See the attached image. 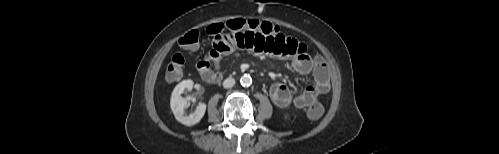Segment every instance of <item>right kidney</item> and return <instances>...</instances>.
I'll return each mask as SVG.
<instances>
[{
  "instance_id": "obj_1",
  "label": "right kidney",
  "mask_w": 499,
  "mask_h": 154,
  "mask_svg": "<svg viewBox=\"0 0 499 154\" xmlns=\"http://www.w3.org/2000/svg\"><path fill=\"white\" fill-rule=\"evenodd\" d=\"M192 80H183L180 82L173 90L170 100L171 110L177 121L186 125L193 126L197 124L204 116L206 111V104L200 103L194 113L190 115H185V108L187 106V101L181 98V94L185 89L192 90L193 88Z\"/></svg>"
}]
</instances>
